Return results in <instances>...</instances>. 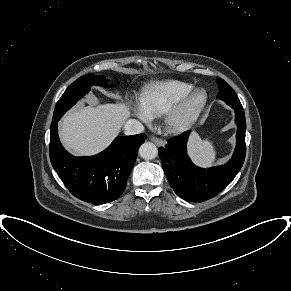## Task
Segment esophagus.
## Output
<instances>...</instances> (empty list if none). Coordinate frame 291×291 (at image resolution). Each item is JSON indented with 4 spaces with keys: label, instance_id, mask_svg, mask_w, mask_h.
Instances as JSON below:
<instances>
[{
    "label": "esophagus",
    "instance_id": "obj_1",
    "mask_svg": "<svg viewBox=\"0 0 291 291\" xmlns=\"http://www.w3.org/2000/svg\"><path fill=\"white\" fill-rule=\"evenodd\" d=\"M150 140L156 144L157 146H161L164 144V142L160 139V138H157V137H151Z\"/></svg>",
    "mask_w": 291,
    "mask_h": 291
}]
</instances>
